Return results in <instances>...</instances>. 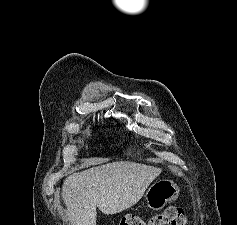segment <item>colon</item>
Segmentation results:
<instances>
[{
  "mask_svg": "<svg viewBox=\"0 0 237 225\" xmlns=\"http://www.w3.org/2000/svg\"><path fill=\"white\" fill-rule=\"evenodd\" d=\"M187 222L183 209L172 206L147 220L138 215H126L119 225H187Z\"/></svg>",
  "mask_w": 237,
  "mask_h": 225,
  "instance_id": "colon-1",
  "label": "colon"
}]
</instances>
